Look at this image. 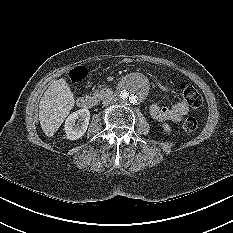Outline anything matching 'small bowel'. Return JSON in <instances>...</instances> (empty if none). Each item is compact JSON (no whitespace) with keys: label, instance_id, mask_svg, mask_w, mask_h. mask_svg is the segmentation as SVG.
<instances>
[{"label":"small bowel","instance_id":"c3829d8e","mask_svg":"<svg viewBox=\"0 0 233 233\" xmlns=\"http://www.w3.org/2000/svg\"><path fill=\"white\" fill-rule=\"evenodd\" d=\"M149 112L157 122H180L189 114V108L184 100H180L171 106L153 104L150 106Z\"/></svg>","mask_w":233,"mask_h":233}]
</instances>
